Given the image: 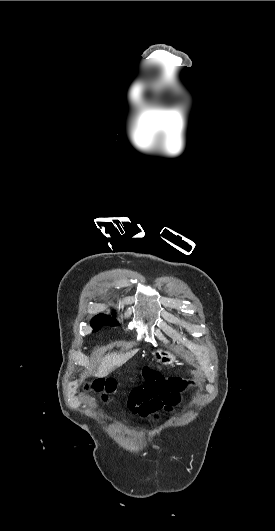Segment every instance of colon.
I'll return each mask as SVG.
<instances>
[{
  "label": "colon",
  "mask_w": 275,
  "mask_h": 531,
  "mask_svg": "<svg viewBox=\"0 0 275 531\" xmlns=\"http://www.w3.org/2000/svg\"><path fill=\"white\" fill-rule=\"evenodd\" d=\"M76 389L80 394L87 395L92 391L93 384L89 379L82 378L77 382Z\"/></svg>",
  "instance_id": "obj_1"
}]
</instances>
